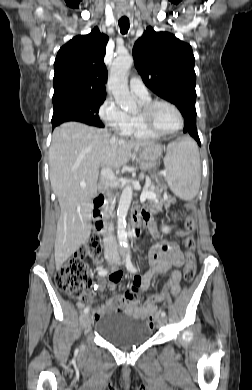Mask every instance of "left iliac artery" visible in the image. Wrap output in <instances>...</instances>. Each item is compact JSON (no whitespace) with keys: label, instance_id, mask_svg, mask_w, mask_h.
Segmentation results:
<instances>
[{"label":"left iliac artery","instance_id":"left-iliac-artery-1","mask_svg":"<svg viewBox=\"0 0 252 390\" xmlns=\"http://www.w3.org/2000/svg\"><path fill=\"white\" fill-rule=\"evenodd\" d=\"M124 247L127 249V255H126V268L128 271H130L131 273H135L137 272V269L135 268V266L132 264L131 262V255H130V246H129V243H125L124 244ZM161 316L162 317H165L166 316V313L164 311L161 312Z\"/></svg>","mask_w":252,"mask_h":390}]
</instances>
